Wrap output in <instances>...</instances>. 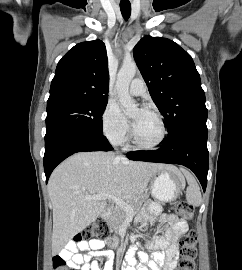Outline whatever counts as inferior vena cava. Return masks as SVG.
<instances>
[{
    "label": "inferior vena cava",
    "mask_w": 242,
    "mask_h": 270,
    "mask_svg": "<svg viewBox=\"0 0 242 270\" xmlns=\"http://www.w3.org/2000/svg\"><path fill=\"white\" fill-rule=\"evenodd\" d=\"M118 157H120V158H122V159L124 158L123 156H118Z\"/></svg>",
    "instance_id": "obj_1"
}]
</instances>
